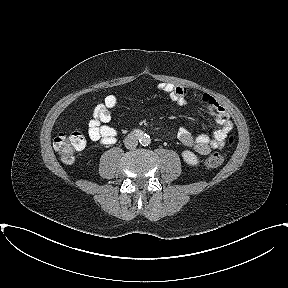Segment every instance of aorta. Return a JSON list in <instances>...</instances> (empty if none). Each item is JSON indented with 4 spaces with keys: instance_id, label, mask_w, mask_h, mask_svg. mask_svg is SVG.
<instances>
[{
    "instance_id": "obj_1",
    "label": "aorta",
    "mask_w": 288,
    "mask_h": 288,
    "mask_svg": "<svg viewBox=\"0 0 288 288\" xmlns=\"http://www.w3.org/2000/svg\"><path fill=\"white\" fill-rule=\"evenodd\" d=\"M150 142H151V139H150V137H149L148 135H144V136H142V137L140 138V143H141L142 145H149Z\"/></svg>"
}]
</instances>
